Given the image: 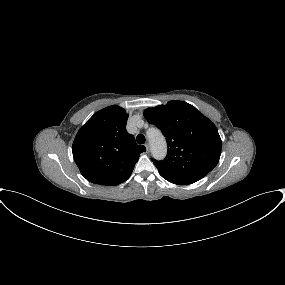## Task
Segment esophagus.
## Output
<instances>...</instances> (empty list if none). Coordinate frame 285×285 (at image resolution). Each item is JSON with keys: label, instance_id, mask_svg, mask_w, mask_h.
<instances>
[{"label": "esophagus", "instance_id": "34e87169", "mask_svg": "<svg viewBox=\"0 0 285 285\" xmlns=\"http://www.w3.org/2000/svg\"><path fill=\"white\" fill-rule=\"evenodd\" d=\"M145 147H146L147 152H149L150 147H149V144H148V143L145 144Z\"/></svg>", "mask_w": 285, "mask_h": 285}]
</instances>
